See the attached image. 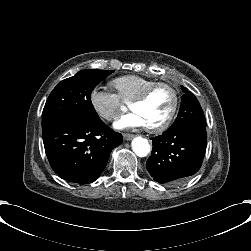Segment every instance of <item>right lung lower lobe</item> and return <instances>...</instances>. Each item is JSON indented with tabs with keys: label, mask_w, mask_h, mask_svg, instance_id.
Listing matches in <instances>:
<instances>
[{
	"label": "right lung lower lobe",
	"mask_w": 251,
	"mask_h": 251,
	"mask_svg": "<svg viewBox=\"0 0 251 251\" xmlns=\"http://www.w3.org/2000/svg\"><path fill=\"white\" fill-rule=\"evenodd\" d=\"M45 152L51 168L62 179L75 184L97 180L104 171L110 152L122 143L101 120L64 119L42 130Z\"/></svg>",
	"instance_id": "98d812e1"
}]
</instances>
